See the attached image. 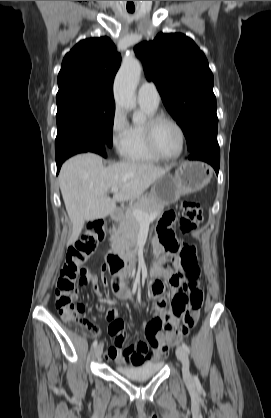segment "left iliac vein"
Masks as SVG:
<instances>
[{"instance_id": "obj_1", "label": "left iliac vein", "mask_w": 271, "mask_h": 418, "mask_svg": "<svg viewBox=\"0 0 271 418\" xmlns=\"http://www.w3.org/2000/svg\"><path fill=\"white\" fill-rule=\"evenodd\" d=\"M176 355H177V358L182 363V372H183L184 379L186 380L191 379V374L189 371V357H188L187 352L182 347H177Z\"/></svg>"}]
</instances>
